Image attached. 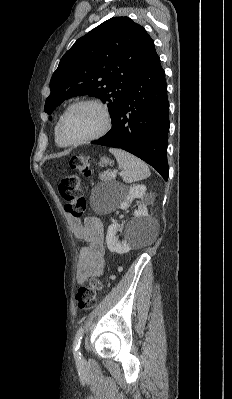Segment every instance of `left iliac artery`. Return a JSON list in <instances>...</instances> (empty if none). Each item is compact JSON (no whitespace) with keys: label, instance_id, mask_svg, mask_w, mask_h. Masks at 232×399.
<instances>
[{"label":"left iliac artery","instance_id":"left-iliac-artery-1","mask_svg":"<svg viewBox=\"0 0 232 399\" xmlns=\"http://www.w3.org/2000/svg\"><path fill=\"white\" fill-rule=\"evenodd\" d=\"M84 334V329L81 327L78 329L74 341H73V355L75 359H81L82 354L79 350L80 348V344H81V340H82V336Z\"/></svg>","mask_w":232,"mask_h":399}]
</instances>
